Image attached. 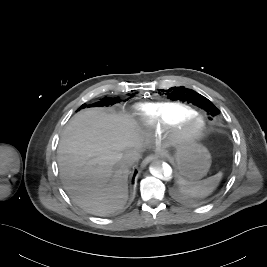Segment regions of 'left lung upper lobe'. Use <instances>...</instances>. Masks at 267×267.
<instances>
[{"label": "left lung upper lobe", "mask_w": 267, "mask_h": 267, "mask_svg": "<svg viewBox=\"0 0 267 267\" xmlns=\"http://www.w3.org/2000/svg\"><path fill=\"white\" fill-rule=\"evenodd\" d=\"M168 97L174 100H182L187 102H192L194 105L206 110L212 117L218 115L220 111L213 105V103L205 98L204 96L198 94V91L194 87H173L170 88Z\"/></svg>", "instance_id": "left-lung-upper-lobe-1"}]
</instances>
